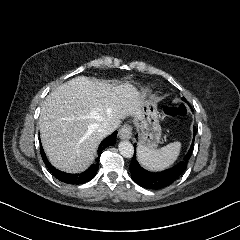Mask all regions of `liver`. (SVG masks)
Here are the masks:
<instances>
[{
  "label": "liver",
  "instance_id": "1",
  "mask_svg": "<svg viewBox=\"0 0 240 240\" xmlns=\"http://www.w3.org/2000/svg\"><path fill=\"white\" fill-rule=\"evenodd\" d=\"M141 113L134 83L74 77L50 92L42 105L39 132L43 150L56 169L69 174L85 172L103 140L99 124L120 125L128 117L140 119Z\"/></svg>",
  "mask_w": 240,
  "mask_h": 240
}]
</instances>
